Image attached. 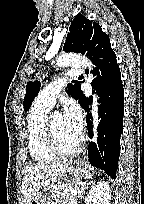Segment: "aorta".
I'll list each match as a JSON object with an SVG mask.
<instances>
[{"instance_id":"762f6f07","label":"aorta","mask_w":144,"mask_h":204,"mask_svg":"<svg viewBox=\"0 0 144 204\" xmlns=\"http://www.w3.org/2000/svg\"><path fill=\"white\" fill-rule=\"evenodd\" d=\"M56 65L61 68H66L70 66H85L88 69H93L92 63L86 58L78 54H63L59 56L56 60ZM93 125L94 134L98 125V102L97 98H94L93 102Z\"/></svg>"}]
</instances>
